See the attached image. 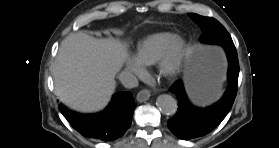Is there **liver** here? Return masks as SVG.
<instances>
[{"label":"liver","mask_w":279,"mask_h":148,"mask_svg":"<svg viewBox=\"0 0 279 148\" xmlns=\"http://www.w3.org/2000/svg\"><path fill=\"white\" fill-rule=\"evenodd\" d=\"M127 57L126 46L113 38L96 39L82 32L69 35L53 66L59 100L79 112L102 109L115 90V75Z\"/></svg>","instance_id":"6515ba94"}]
</instances>
